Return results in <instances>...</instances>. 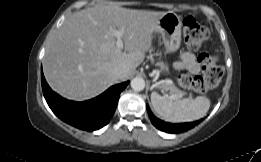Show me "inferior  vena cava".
Instances as JSON below:
<instances>
[{
  "instance_id": "inferior-vena-cava-1",
  "label": "inferior vena cava",
  "mask_w": 261,
  "mask_h": 162,
  "mask_svg": "<svg viewBox=\"0 0 261 162\" xmlns=\"http://www.w3.org/2000/svg\"><path fill=\"white\" fill-rule=\"evenodd\" d=\"M127 67L122 65V66H117L114 68L113 70V75L117 78H122L124 76H126L127 74Z\"/></svg>"
}]
</instances>
